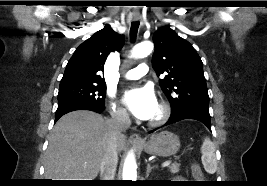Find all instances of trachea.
I'll return each instance as SVG.
<instances>
[{
	"mask_svg": "<svg viewBox=\"0 0 267 186\" xmlns=\"http://www.w3.org/2000/svg\"><path fill=\"white\" fill-rule=\"evenodd\" d=\"M138 28H139V22L138 21L131 23L130 38H131L132 42L135 41V39H136Z\"/></svg>",
	"mask_w": 267,
	"mask_h": 186,
	"instance_id": "1",
	"label": "trachea"
}]
</instances>
